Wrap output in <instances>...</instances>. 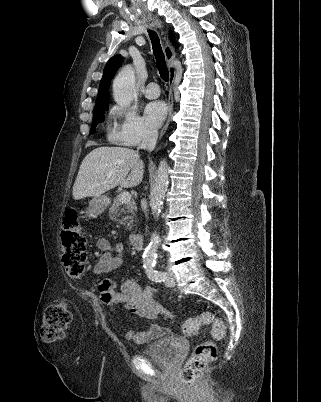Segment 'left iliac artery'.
<instances>
[{"instance_id": "1", "label": "left iliac artery", "mask_w": 321, "mask_h": 402, "mask_svg": "<svg viewBox=\"0 0 321 402\" xmlns=\"http://www.w3.org/2000/svg\"><path fill=\"white\" fill-rule=\"evenodd\" d=\"M155 265L145 266L146 273L152 281L162 282L166 279V274L155 270Z\"/></svg>"}]
</instances>
